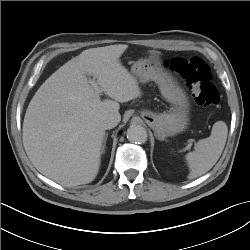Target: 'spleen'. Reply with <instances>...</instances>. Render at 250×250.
<instances>
[{"label": "spleen", "instance_id": "3e777b00", "mask_svg": "<svg viewBox=\"0 0 250 250\" xmlns=\"http://www.w3.org/2000/svg\"><path fill=\"white\" fill-rule=\"evenodd\" d=\"M227 134L226 123L217 121L212 127L211 135L199 140L195 150L186 154L185 158L190 169L189 179L203 175L216 164L225 147Z\"/></svg>", "mask_w": 250, "mask_h": 250}]
</instances>
